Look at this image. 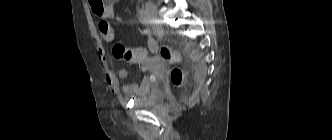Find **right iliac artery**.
I'll list each match as a JSON object with an SVG mask.
<instances>
[{"label": "right iliac artery", "mask_w": 332, "mask_h": 140, "mask_svg": "<svg viewBox=\"0 0 332 140\" xmlns=\"http://www.w3.org/2000/svg\"><path fill=\"white\" fill-rule=\"evenodd\" d=\"M138 16L142 23H144V24L148 23V17H147L146 11L144 9L138 10Z\"/></svg>", "instance_id": "right-iliac-artery-1"}]
</instances>
